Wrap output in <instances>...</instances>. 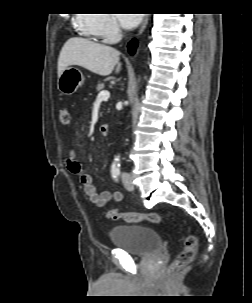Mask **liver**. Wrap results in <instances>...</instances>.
<instances>
[{"mask_svg":"<svg viewBox=\"0 0 252 303\" xmlns=\"http://www.w3.org/2000/svg\"><path fill=\"white\" fill-rule=\"evenodd\" d=\"M120 53L113 47L85 38L73 37L66 41L58 58V77L71 65L83 67L98 75L107 76L117 65L121 69Z\"/></svg>","mask_w":252,"mask_h":303,"instance_id":"6515ba94","label":"liver"}]
</instances>
